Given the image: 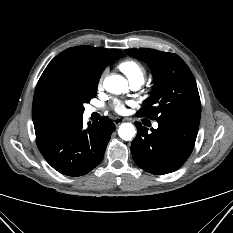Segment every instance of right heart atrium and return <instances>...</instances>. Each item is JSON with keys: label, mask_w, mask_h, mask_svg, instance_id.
Masks as SVG:
<instances>
[{"label": "right heart atrium", "mask_w": 233, "mask_h": 233, "mask_svg": "<svg viewBox=\"0 0 233 233\" xmlns=\"http://www.w3.org/2000/svg\"><path fill=\"white\" fill-rule=\"evenodd\" d=\"M103 76H104V74H102L101 77H100L99 80H98V84H97L98 88H101V87H102Z\"/></svg>", "instance_id": "right-heart-atrium-1"}]
</instances>
